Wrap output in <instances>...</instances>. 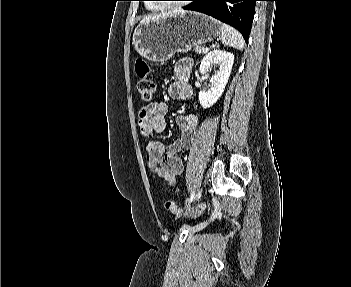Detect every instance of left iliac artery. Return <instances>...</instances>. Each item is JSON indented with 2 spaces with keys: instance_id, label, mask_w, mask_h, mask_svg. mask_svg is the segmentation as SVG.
Masks as SVG:
<instances>
[{
  "instance_id": "left-iliac-artery-1",
  "label": "left iliac artery",
  "mask_w": 351,
  "mask_h": 287,
  "mask_svg": "<svg viewBox=\"0 0 351 287\" xmlns=\"http://www.w3.org/2000/svg\"><path fill=\"white\" fill-rule=\"evenodd\" d=\"M194 198H195V192L193 191V192L191 193L190 198L187 200V202H188V203H191V202L194 200Z\"/></svg>"
}]
</instances>
